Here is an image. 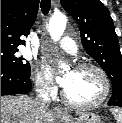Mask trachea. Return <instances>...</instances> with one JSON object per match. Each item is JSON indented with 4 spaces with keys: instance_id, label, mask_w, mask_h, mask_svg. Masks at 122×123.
I'll use <instances>...</instances> for the list:
<instances>
[{
    "instance_id": "trachea-1",
    "label": "trachea",
    "mask_w": 122,
    "mask_h": 123,
    "mask_svg": "<svg viewBox=\"0 0 122 123\" xmlns=\"http://www.w3.org/2000/svg\"><path fill=\"white\" fill-rule=\"evenodd\" d=\"M40 7L43 14H47L51 7V1L50 0H42L40 3Z\"/></svg>"
}]
</instances>
